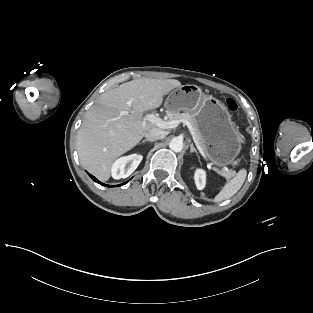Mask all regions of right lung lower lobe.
I'll list each match as a JSON object with an SVG mask.
<instances>
[{
    "label": "right lung lower lobe",
    "mask_w": 313,
    "mask_h": 313,
    "mask_svg": "<svg viewBox=\"0 0 313 313\" xmlns=\"http://www.w3.org/2000/svg\"><path fill=\"white\" fill-rule=\"evenodd\" d=\"M88 175L93 179V181L99 183L100 185H103V186H106V187H114V186H112V185H106V184L100 182L97 178H95L94 176H92V175L89 174V173H88ZM123 184H125V183H123ZM123 184H121V185H123ZM121 185H117V186H121Z\"/></svg>",
    "instance_id": "right-lung-lower-lobe-1"
}]
</instances>
